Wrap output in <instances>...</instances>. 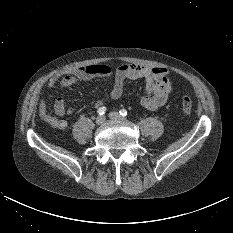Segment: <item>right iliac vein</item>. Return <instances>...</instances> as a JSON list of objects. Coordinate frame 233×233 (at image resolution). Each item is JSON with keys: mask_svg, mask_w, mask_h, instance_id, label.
Listing matches in <instances>:
<instances>
[{"mask_svg": "<svg viewBox=\"0 0 233 233\" xmlns=\"http://www.w3.org/2000/svg\"><path fill=\"white\" fill-rule=\"evenodd\" d=\"M105 122V117L104 116H98L96 118V124L102 125Z\"/></svg>", "mask_w": 233, "mask_h": 233, "instance_id": "right-iliac-vein-1", "label": "right iliac vein"}]
</instances>
